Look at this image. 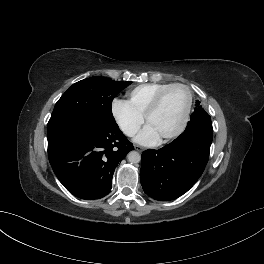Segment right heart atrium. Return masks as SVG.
<instances>
[{
	"mask_svg": "<svg viewBox=\"0 0 264 264\" xmlns=\"http://www.w3.org/2000/svg\"><path fill=\"white\" fill-rule=\"evenodd\" d=\"M111 111L119 129L128 137L134 136L144 121L143 116L125 100L115 99L112 102Z\"/></svg>",
	"mask_w": 264,
	"mask_h": 264,
	"instance_id": "d8ad5b80",
	"label": "right heart atrium"
}]
</instances>
